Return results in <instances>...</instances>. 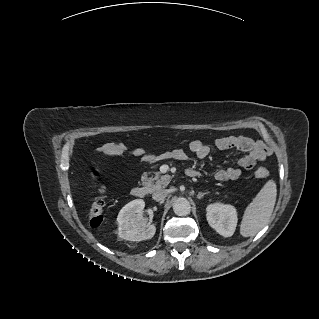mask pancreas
Returning <instances> with one entry per match:
<instances>
[{"label":"pancreas","mask_w":319,"mask_h":319,"mask_svg":"<svg viewBox=\"0 0 319 319\" xmlns=\"http://www.w3.org/2000/svg\"><path fill=\"white\" fill-rule=\"evenodd\" d=\"M159 178L161 179L158 180ZM143 184L145 185L147 192L152 193L166 187L169 184V176H160V173L156 172L154 177H146Z\"/></svg>","instance_id":"obj_1"}]
</instances>
